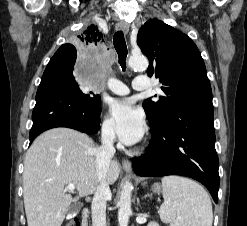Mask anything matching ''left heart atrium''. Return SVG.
I'll list each match as a JSON object with an SVG mask.
<instances>
[{
  "mask_svg": "<svg viewBox=\"0 0 247 226\" xmlns=\"http://www.w3.org/2000/svg\"><path fill=\"white\" fill-rule=\"evenodd\" d=\"M110 114L119 139L126 145L139 142L146 130L144 115L130 99L110 102Z\"/></svg>",
  "mask_w": 247,
  "mask_h": 226,
  "instance_id": "1",
  "label": "left heart atrium"
}]
</instances>
